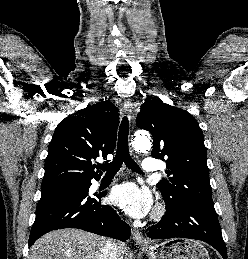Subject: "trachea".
<instances>
[{"label":"trachea","mask_w":248,"mask_h":259,"mask_svg":"<svg viewBox=\"0 0 248 259\" xmlns=\"http://www.w3.org/2000/svg\"><path fill=\"white\" fill-rule=\"evenodd\" d=\"M129 121L124 117L118 132V145L116 155L111 163L102 164L98 168L106 171V175H115L121 165H125L134 172L141 173L140 167L131 158L128 150Z\"/></svg>","instance_id":"3493384b"}]
</instances>
